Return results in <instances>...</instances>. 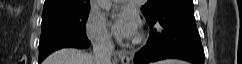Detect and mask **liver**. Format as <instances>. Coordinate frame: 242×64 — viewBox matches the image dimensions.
Masks as SVG:
<instances>
[{"label": "liver", "instance_id": "1", "mask_svg": "<svg viewBox=\"0 0 242 64\" xmlns=\"http://www.w3.org/2000/svg\"><path fill=\"white\" fill-rule=\"evenodd\" d=\"M43 64H96V61L92 55L68 48L52 53Z\"/></svg>", "mask_w": 242, "mask_h": 64}]
</instances>
